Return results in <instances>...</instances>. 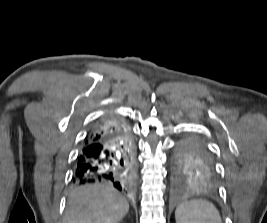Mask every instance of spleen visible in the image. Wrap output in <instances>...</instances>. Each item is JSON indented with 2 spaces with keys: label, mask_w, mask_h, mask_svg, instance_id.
<instances>
[{
  "label": "spleen",
  "mask_w": 267,
  "mask_h": 223,
  "mask_svg": "<svg viewBox=\"0 0 267 223\" xmlns=\"http://www.w3.org/2000/svg\"><path fill=\"white\" fill-rule=\"evenodd\" d=\"M176 223H222L219 211L207 200L181 203L175 211Z\"/></svg>",
  "instance_id": "obj_1"
}]
</instances>
